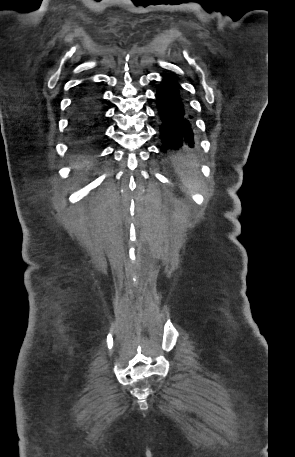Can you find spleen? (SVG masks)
I'll return each mask as SVG.
<instances>
[{"mask_svg": "<svg viewBox=\"0 0 295 457\" xmlns=\"http://www.w3.org/2000/svg\"><path fill=\"white\" fill-rule=\"evenodd\" d=\"M194 167L195 163L188 159H182L177 165V171L181 175L182 181L192 192H196L200 185V182L193 175L192 169Z\"/></svg>", "mask_w": 295, "mask_h": 457, "instance_id": "spleen-1", "label": "spleen"}]
</instances>
